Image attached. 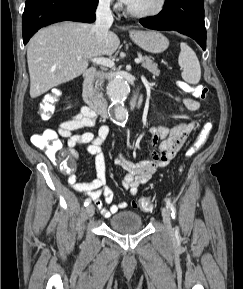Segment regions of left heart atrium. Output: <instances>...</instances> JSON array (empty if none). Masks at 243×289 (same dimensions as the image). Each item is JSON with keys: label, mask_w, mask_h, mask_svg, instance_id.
<instances>
[{"label": "left heart atrium", "mask_w": 243, "mask_h": 289, "mask_svg": "<svg viewBox=\"0 0 243 289\" xmlns=\"http://www.w3.org/2000/svg\"><path fill=\"white\" fill-rule=\"evenodd\" d=\"M121 1L127 5L131 2V0H121Z\"/></svg>", "instance_id": "39dd6f15"}]
</instances>
